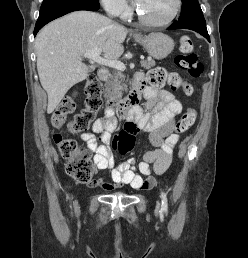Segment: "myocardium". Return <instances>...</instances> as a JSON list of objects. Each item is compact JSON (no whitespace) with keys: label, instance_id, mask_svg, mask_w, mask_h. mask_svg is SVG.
<instances>
[{"label":"myocardium","instance_id":"f54148a6","mask_svg":"<svg viewBox=\"0 0 248 258\" xmlns=\"http://www.w3.org/2000/svg\"><path fill=\"white\" fill-rule=\"evenodd\" d=\"M182 8V0H176V7L172 15L164 21H152L147 19L140 11L136 12L138 20L149 27H165L170 25L179 15Z\"/></svg>","mask_w":248,"mask_h":258}]
</instances>
